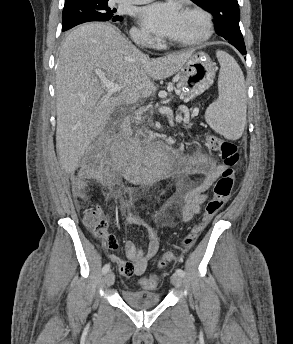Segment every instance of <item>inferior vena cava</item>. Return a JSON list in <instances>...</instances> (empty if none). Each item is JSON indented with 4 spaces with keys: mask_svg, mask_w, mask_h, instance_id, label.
I'll use <instances>...</instances> for the list:
<instances>
[{
    "mask_svg": "<svg viewBox=\"0 0 293 344\" xmlns=\"http://www.w3.org/2000/svg\"><path fill=\"white\" fill-rule=\"evenodd\" d=\"M131 36H132L133 41L137 45H143L144 41L146 39V36L144 34H142V33H139V32L132 33Z\"/></svg>",
    "mask_w": 293,
    "mask_h": 344,
    "instance_id": "obj_1",
    "label": "inferior vena cava"
}]
</instances>
